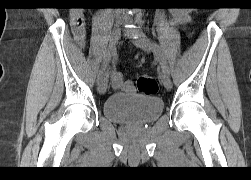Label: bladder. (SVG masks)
I'll use <instances>...</instances> for the list:
<instances>
[{"label":"bladder","mask_w":251,"mask_h":180,"mask_svg":"<svg viewBox=\"0 0 251 180\" xmlns=\"http://www.w3.org/2000/svg\"><path fill=\"white\" fill-rule=\"evenodd\" d=\"M164 102L156 96L110 95L103 104V115L121 124H147L159 118Z\"/></svg>","instance_id":"obj_1"}]
</instances>
